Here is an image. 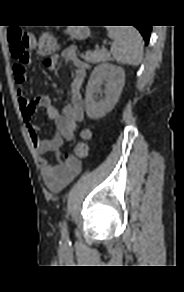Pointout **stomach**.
<instances>
[{
	"label": "stomach",
	"instance_id": "obj_1",
	"mask_svg": "<svg viewBox=\"0 0 184 292\" xmlns=\"http://www.w3.org/2000/svg\"><path fill=\"white\" fill-rule=\"evenodd\" d=\"M67 31L73 39H84L89 35L88 29L80 26H69Z\"/></svg>",
	"mask_w": 184,
	"mask_h": 292
}]
</instances>
